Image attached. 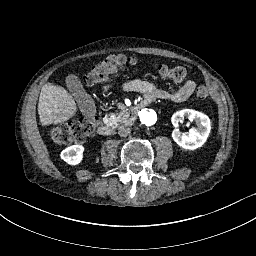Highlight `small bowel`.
<instances>
[{
    "label": "small bowel",
    "instance_id": "small-bowel-1",
    "mask_svg": "<svg viewBox=\"0 0 256 256\" xmlns=\"http://www.w3.org/2000/svg\"><path fill=\"white\" fill-rule=\"evenodd\" d=\"M196 83L190 79L184 80L181 86L174 91H167L157 87L153 83L141 80L131 79L121 84L124 91H135L144 95V103H150L155 100H167L171 102H182L187 100L195 91Z\"/></svg>",
    "mask_w": 256,
    "mask_h": 256
}]
</instances>
